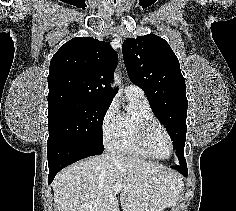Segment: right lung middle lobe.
I'll return each instance as SVG.
<instances>
[{"mask_svg": "<svg viewBox=\"0 0 236 211\" xmlns=\"http://www.w3.org/2000/svg\"><path fill=\"white\" fill-rule=\"evenodd\" d=\"M109 103L68 101L48 107L47 145L87 143L103 148L102 124Z\"/></svg>", "mask_w": 236, "mask_h": 211, "instance_id": "obj_1", "label": "right lung middle lobe"}]
</instances>
